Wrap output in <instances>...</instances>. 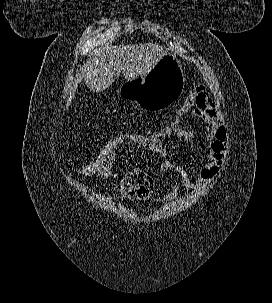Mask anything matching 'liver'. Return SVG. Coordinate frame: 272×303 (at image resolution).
<instances>
[{
	"label": "liver",
	"instance_id": "obj_1",
	"mask_svg": "<svg viewBox=\"0 0 272 303\" xmlns=\"http://www.w3.org/2000/svg\"><path fill=\"white\" fill-rule=\"evenodd\" d=\"M167 53L168 48L153 43L109 44L85 65L84 81L90 90L103 91L120 75L127 81L145 76Z\"/></svg>",
	"mask_w": 272,
	"mask_h": 303
}]
</instances>
